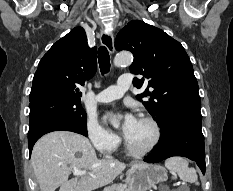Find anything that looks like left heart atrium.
Listing matches in <instances>:
<instances>
[{"mask_svg":"<svg viewBox=\"0 0 233 191\" xmlns=\"http://www.w3.org/2000/svg\"><path fill=\"white\" fill-rule=\"evenodd\" d=\"M136 121H137V119L132 114H126L124 116L122 131H123L125 136L130 131V129L133 127V125L135 124Z\"/></svg>","mask_w":233,"mask_h":191,"instance_id":"1","label":"left heart atrium"}]
</instances>
